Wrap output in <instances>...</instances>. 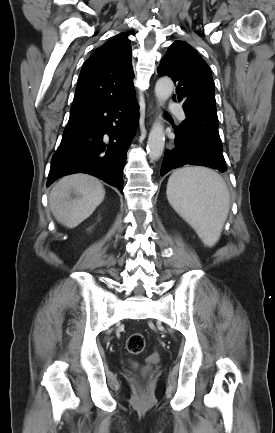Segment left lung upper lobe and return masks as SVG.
I'll return each instance as SVG.
<instances>
[{
    "mask_svg": "<svg viewBox=\"0 0 275 433\" xmlns=\"http://www.w3.org/2000/svg\"><path fill=\"white\" fill-rule=\"evenodd\" d=\"M158 73L174 80L178 100L183 102L187 118L176 130L195 137L217 165L227 168L218 132L214 83L209 66L188 43L175 41L161 59Z\"/></svg>",
    "mask_w": 275,
    "mask_h": 433,
    "instance_id": "left-lung-upper-lobe-1",
    "label": "left lung upper lobe"
}]
</instances>
